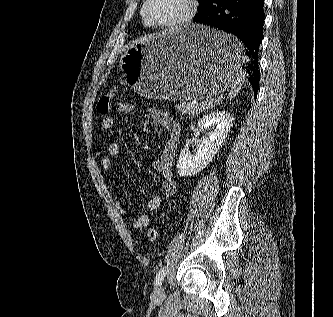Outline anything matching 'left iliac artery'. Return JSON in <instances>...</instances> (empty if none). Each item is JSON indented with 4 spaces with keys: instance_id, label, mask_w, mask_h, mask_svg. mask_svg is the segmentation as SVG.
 <instances>
[{
    "instance_id": "left-iliac-artery-1",
    "label": "left iliac artery",
    "mask_w": 333,
    "mask_h": 317,
    "mask_svg": "<svg viewBox=\"0 0 333 317\" xmlns=\"http://www.w3.org/2000/svg\"><path fill=\"white\" fill-rule=\"evenodd\" d=\"M164 277H165V269H164V267H162V268L158 271V273H157V275H156V278H155V283H156V285H157V284H161L162 281H163V279H164Z\"/></svg>"
}]
</instances>
